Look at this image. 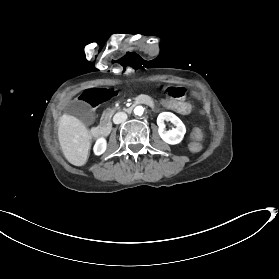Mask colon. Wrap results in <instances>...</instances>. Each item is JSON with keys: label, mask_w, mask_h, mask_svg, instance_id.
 <instances>
[{"label": "colon", "mask_w": 279, "mask_h": 279, "mask_svg": "<svg viewBox=\"0 0 279 279\" xmlns=\"http://www.w3.org/2000/svg\"><path fill=\"white\" fill-rule=\"evenodd\" d=\"M192 135L194 139L199 140L202 137V132L199 129H194Z\"/></svg>", "instance_id": "1"}]
</instances>
